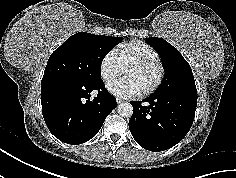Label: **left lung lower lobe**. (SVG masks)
<instances>
[{"mask_svg":"<svg viewBox=\"0 0 236 178\" xmlns=\"http://www.w3.org/2000/svg\"><path fill=\"white\" fill-rule=\"evenodd\" d=\"M143 102L133 101L129 129L144 149L160 152L179 143L190 130L196 111L197 96L172 93L152 94Z\"/></svg>","mask_w":236,"mask_h":178,"instance_id":"left-lung-lower-lobe-1","label":"left lung lower lobe"}]
</instances>
